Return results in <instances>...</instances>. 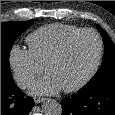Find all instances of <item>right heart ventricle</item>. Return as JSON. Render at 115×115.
I'll use <instances>...</instances> for the list:
<instances>
[{"instance_id": "1", "label": "right heart ventricle", "mask_w": 115, "mask_h": 115, "mask_svg": "<svg viewBox=\"0 0 115 115\" xmlns=\"http://www.w3.org/2000/svg\"><path fill=\"white\" fill-rule=\"evenodd\" d=\"M80 30L82 28L74 25L51 23L31 32L27 36L26 42L36 61L44 65L67 37Z\"/></svg>"}]
</instances>
